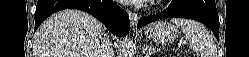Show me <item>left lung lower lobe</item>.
Here are the masks:
<instances>
[{
	"label": "left lung lower lobe",
	"instance_id": "1",
	"mask_svg": "<svg viewBox=\"0 0 249 57\" xmlns=\"http://www.w3.org/2000/svg\"><path fill=\"white\" fill-rule=\"evenodd\" d=\"M181 17L202 22L208 26L219 40V18L215 0H172L166 10L156 15L142 17L138 22V28L153 21Z\"/></svg>",
	"mask_w": 249,
	"mask_h": 57
}]
</instances>
